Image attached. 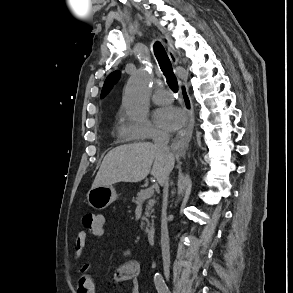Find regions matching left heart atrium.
<instances>
[{"label": "left heart atrium", "instance_id": "1", "mask_svg": "<svg viewBox=\"0 0 293 293\" xmlns=\"http://www.w3.org/2000/svg\"><path fill=\"white\" fill-rule=\"evenodd\" d=\"M154 118L157 125L167 131L179 128L185 120L183 112L174 106L157 109L154 113Z\"/></svg>", "mask_w": 293, "mask_h": 293}]
</instances>
